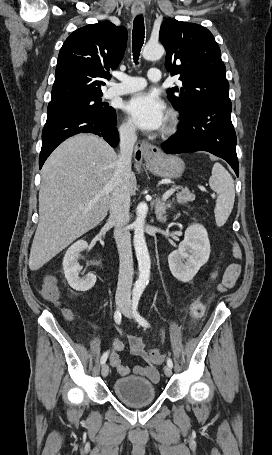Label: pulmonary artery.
<instances>
[{"label": "pulmonary artery", "instance_id": "pulmonary-artery-1", "mask_svg": "<svg viewBox=\"0 0 272 455\" xmlns=\"http://www.w3.org/2000/svg\"><path fill=\"white\" fill-rule=\"evenodd\" d=\"M119 83L113 84L106 92V97L111 98L119 95H124L139 91L146 86V81L140 77L129 75L117 76ZM162 78L161 71L157 68H151L148 72V79L151 82H159Z\"/></svg>", "mask_w": 272, "mask_h": 455}]
</instances>
